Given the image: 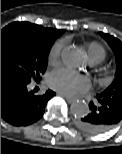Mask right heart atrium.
Returning <instances> with one entry per match:
<instances>
[{"mask_svg": "<svg viewBox=\"0 0 122 154\" xmlns=\"http://www.w3.org/2000/svg\"><path fill=\"white\" fill-rule=\"evenodd\" d=\"M64 44L61 41L56 42L50 49L48 60L49 63L56 65L59 63Z\"/></svg>", "mask_w": 122, "mask_h": 154, "instance_id": "obj_1", "label": "right heart atrium"}]
</instances>
